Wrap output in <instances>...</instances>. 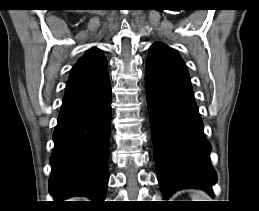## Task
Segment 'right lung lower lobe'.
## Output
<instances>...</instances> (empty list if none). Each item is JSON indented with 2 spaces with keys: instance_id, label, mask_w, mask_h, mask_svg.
Listing matches in <instances>:
<instances>
[{
  "instance_id": "right-lung-lower-lobe-1",
  "label": "right lung lower lobe",
  "mask_w": 259,
  "mask_h": 211,
  "mask_svg": "<svg viewBox=\"0 0 259 211\" xmlns=\"http://www.w3.org/2000/svg\"><path fill=\"white\" fill-rule=\"evenodd\" d=\"M111 86L62 104L54 131L49 179L54 201L85 196L104 199L108 184Z\"/></svg>"
}]
</instances>
